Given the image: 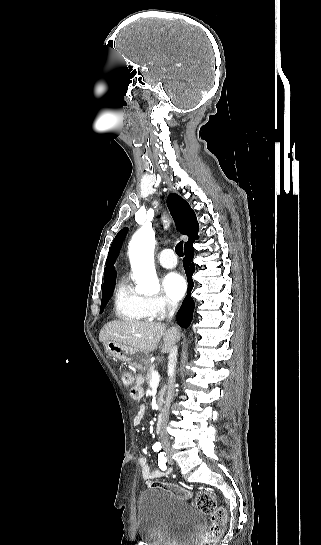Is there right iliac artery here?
Segmentation results:
<instances>
[{"mask_svg": "<svg viewBox=\"0 0 321 545\" xmlns=\"http://www.w3.org/2000/svg\"><path fill=\"white\" fill-rule=\"evenodd\" d=\"M152 448H153V450H154L155 452H158V451L161 450V444L157 442V443H155V444L153 445Z\"/></svg>", "mask_w": 321, "mask_h": 545, "instance_id": "right-iliac-artery-1", "label": "right iliac artery"}]
</instances>
